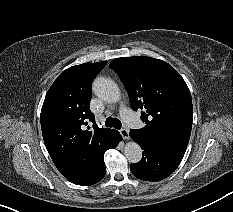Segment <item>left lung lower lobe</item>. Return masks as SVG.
Segmentation results:
<instances>
[{
	"label": "left lung lower lobe",
	"instance_id": "1",
	"mask_svg": "<svg viewBox=\"0 0 233 212\" xmlns=\"http://www.w3.org/2000/svg\"><path fill=\"white\" fill-rule=\"evenodd\" d=\"M130 136L143 150L142 160L130 166L132 174L141 180L160 181L168 177L175 171L184 156L132 134Z\"/></svg>",
	"mask_w": 233,
	"mask_h": 212
}]
</instances>
